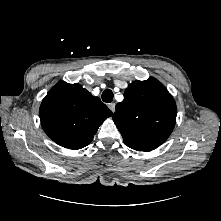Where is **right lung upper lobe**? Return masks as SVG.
Listing matches in <instances>:
<instances>
[{
  "label": "right lung upper lobe",
  "mask_w": 221,
  "mask_h": 221,
  "mask_svg": "<svg viewBox=\"0 0 221 221\" xmlns=\"http://www.w3.org/2000/svg\"><path fill=\"white\" fill-rule=\"evenodd\" d=\"M41 125L58 145L77 150L87 146L112 111L79 84L57 83L40 106Z\"/></svg>",
  "instance_id": "1"
}]
</instances>
